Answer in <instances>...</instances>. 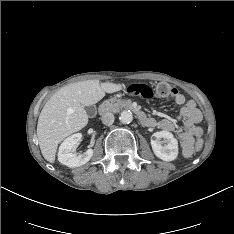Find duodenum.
<instances>
[{"instance_id": "410a0bca", "label": "duodenum", "mask_w": 234, "mask_h": 234, "mask_svg": "<svg viewBox=\"0 0 234 234\" xmlns=\"http://www.w3.org/2000/svg\"><path fill=\"white\" fill-rule=\"evenodd\" d=\"M117 105H118L117 102H109V103L103 104L100 108V112L102 114L107 113L111 109L116 107ZM122 106H124L125 108L130 109L132 112H134L135 115L137 116L138 120L143 125H147L149 123V118L147 117V115L143 111H141L136 105H134L130 102H124V103H122Z\"/></svg>"}]
</instances>
